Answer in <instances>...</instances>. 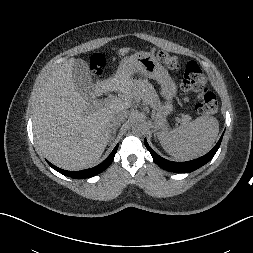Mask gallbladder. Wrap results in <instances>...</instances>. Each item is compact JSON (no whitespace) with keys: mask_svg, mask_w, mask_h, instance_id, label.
<instances>
[{"mask_svg":"<svg viewBox=\"0 0 253 253\" xmlns=\"http://www.w3.org/2000/svg\"><path fill=\"white\" fill-rule=\"evenodd\" d=\"M73 81L77 91L84 98H90V96L94 93V86L92 84L89 68L87 64L82 60L78 59L74 61Z\"/></svg>","mask_w":253,"mask_h":253,"instance_id":"gallbladder-1","label":"gallbladder"}]
</instances>
